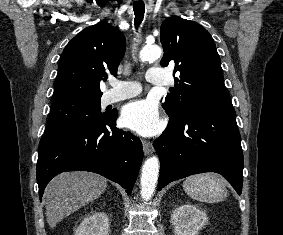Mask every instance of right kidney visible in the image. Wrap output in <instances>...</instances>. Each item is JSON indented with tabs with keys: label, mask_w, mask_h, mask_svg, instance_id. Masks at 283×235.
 Masks as SVG:
<instances>
[{
	"label": "right kidney",
	"mask_w": 283,
	"mask_h": 235,
	"mask_svg": "<svg viewBox=\"0 0 283 235\" xmlns=\"http://www.w3.org/2000/svg\"><path fill=\"white\" fill-rule=\"evenodd\" d=\"M109 218L104 212H96L86 216L75 235H109Z\"/></svg>",
	"instance_id": "obj_1"
}]
</instances>
